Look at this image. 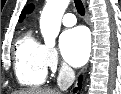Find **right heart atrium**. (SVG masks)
Instances as JSON below:
<instances>
[{"label":"right heart atrium","mask_w":121,"mask_h":94,"mask_svg":"<svg viewBox=\"0 0 121 94\" xmlns=\"http://www.w3.org/2000/svg\"><path fill=\"white\" fill-rule=\"evenodd\" d=\"M44 60L46 66L53 72H56L60 68L63 74L68 73V69L65 66L60 65L57 52L53 47L44 45Z\"/></svg>","instance_id":"1"}]
</instances>
